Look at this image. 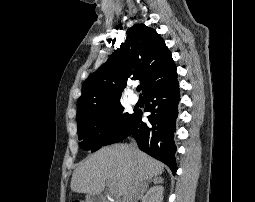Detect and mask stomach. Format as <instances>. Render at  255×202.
<instances>
[{
  "label": "stomach",
  "mask_w": 255,
  "mask_h": 202,
  "mask_svg": "<svg viewBox=\"0 0 255 202\" xmlns=\"http://www.w3.org/2000/svg\"><path fill=\"white\" fill-rule=\"evenodd\" d=\"M85 202H92L90 199V196H86V201Z\"/></svg>",
  "instance_id": "1"
}]
</instances>
